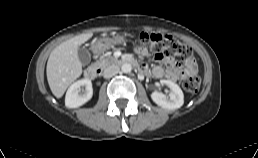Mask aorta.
I'll list each match as a JSON object with an SVG mask.
<instances>
[{
	"label": "aorta",
	"mask_w": 258,
	"mask_h": 158,
	"mask_svg": "<svg viewBox=\"0 0 258 158\" xmlns=\"http://www.w3.org/2000/svg\"><path fill=\"white\" fill-rule=\"evenodd\" d=\"M131 70H132V66H131V64H129V63H124V64L121 66V71H122L123 73H129V72H131Z\"/></svg>",
	"instance_id": "1"
}]
</instances>
